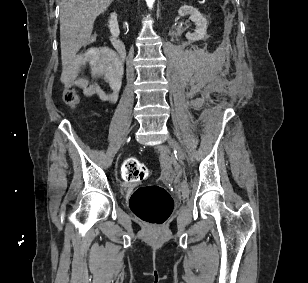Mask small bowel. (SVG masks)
I'll return each mask as SVG.
<instances>
[{
  "label": "small bowel",
  "instance_id": "c3829d8e",
  "mask_svg": "<svg viewBox=\"0 0 308 283\" xmlns=\"http://www.w3.org/2000/svg\"><path fill=\"white\" fill-rule=\"evenodd\" d=\"M85 66L90 68V77L80 75ZM67 78L86 96H97L102 101L115 103L121 89L122 66L115 53L107 47L89 48L79 53L65 68ZM104 79L109 91L98 83Z\"/></svg>",
  "mask_w": 308,
  "mask_h": 283
}]
</instances>
